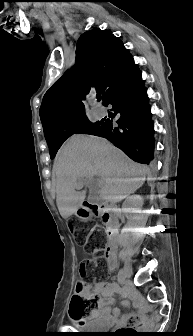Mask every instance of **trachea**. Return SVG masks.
<instances>
[{
  "mask_svg": "<svg viewBox=\"0 0 193 336\" xmlns=\"http://www.w3.org/2000/svg\"><path fill=\"white\" fill-rule=\"evenodd\" d=\"M97 100L100 101L101 100V95L100 94H97Z\"/></svg>",
  "mask_w": 193,
  "mask_h": 336,
  "instance_id": "1",
  "label": "trachea"
}]
</instances>
